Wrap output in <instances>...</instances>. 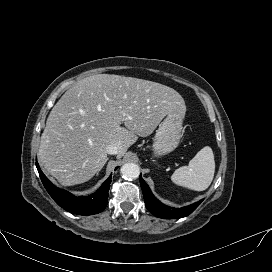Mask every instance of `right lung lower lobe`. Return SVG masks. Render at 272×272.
Returning a JSON list of instances; mask_svg holds the SVG:
<instances>
[{"mask_svg": "<svg viewBox=\"0 0 272 272\" xmlns=\"http://www.w3.org/2000/svg\"><path fill=\"white\" fill-rule=\"evenodd\" d=\"M36 167L47 192L54 199V201L66 211L78 215H92L100 213L105 209L108 202V191L111 183V175L94 194L76 197L65 190L55 187L43 174L37 161Z\"/></svg>", "mask_w": 272, "mask_h": 272, "instance_id": "1", "label": "right lung lower lobe"}]
</instances>
